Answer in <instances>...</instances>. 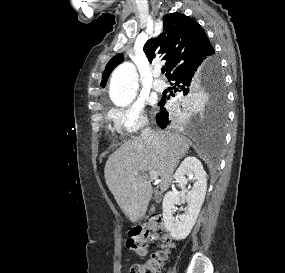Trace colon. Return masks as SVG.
<instances>
[{
    "instance_id": "obj_1",
    "label": "colon",
    "mask_w": 285,
    "mask_h": 273,
    "mask_svg": "<svg viewBox=\"0 0 285 273\" xmlns=\"http://www.w3.org/2000/svg\"><path fill=\"white\" fill-rule=\"evenodd\" d=\"M152 241H159L163 250L154 254L148 261L134 266L130 273H161L167 260V255L173 244L168 236L167 230L155 223L147 229H137L126 241L128 250L143 257L148 252V245Z\"/></svg>"
}]
</instances>
